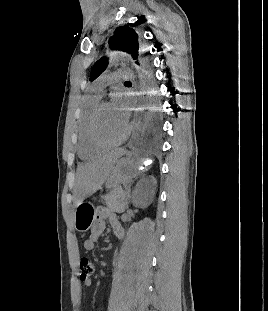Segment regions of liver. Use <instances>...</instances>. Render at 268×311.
<instances>
[{"label":"liver","mask_w":268,"mask_h":311,"mask_svg":"<svg viewBox=\"0 0 268 311\" xmlns=\"http://www.w3.org/2000/svg\"><path fill=\"white\" fill-rule=\"evenodd\" d=\"M124 154L123 149L115 150L78 168L75 186L76 206L101 188L110 176L114 164Z\"/></svg>","instance_id":"liver-1"}]
</instances>
